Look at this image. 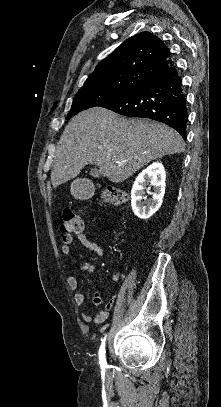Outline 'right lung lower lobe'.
Returning <instances> with one entry per match:
<instances>
[{
	"label": "right lung lower lobe",
	"instance_id": "obj_1",
	"mask_svg": "<svg viewBox=\"0 0 221 407\" xmlns=\"http://www.w3.org/2000/svg\"><path fill=\"white\" fill-rule=\"evenodd\" d=\"M186 104L182 79L171 63L127 94L100 107L128 117L149 118L165 123L186 139Z\"/></svg>",
	"mask_w": 221,
	"mask_h": 407
}]
</instances>
